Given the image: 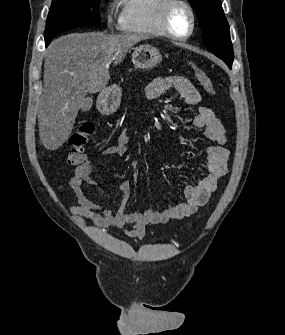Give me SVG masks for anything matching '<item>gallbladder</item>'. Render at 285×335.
<instances>
[{
  "mask_svg": "<svg viewBox=\"0 0 285 335\" xmlns=\"http://www.w3.org/2000/svg\"><path fill=\"white\" fill-rule=\"evenodd\" d=\"M93 106L92 98H84L83 102H81V112H88L90 108Z\"/></svg>",
  "mask_w": 285,
  "mask_h": 335,
  "instance_id": "bac80fb5",
  "label": "gallbladder"
}]
</instances>
